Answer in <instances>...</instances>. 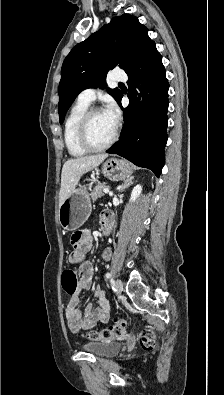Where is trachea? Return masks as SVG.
<instances>
[{
	"label": "trachea",
	"mask_w": 224,
	"mask_h": 395,
	"mask_svg": "<svg viewBox=\"0 0 224 395\" xmlns=\"http://www.w3.org/2000/svg\"><path fill=\"white\" fill-rule=\"evenodd\" d=\"M119 85H124L123 83H119Z\"/></svg>",
	"instance_id": "obj_1"
}]
</instances>
